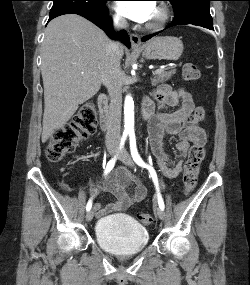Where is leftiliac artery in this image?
Returning <instances> with one entry per match:
<instances>
[{"label":"left iliac artery","instance_id":"left-iliac-artery-1","mask_svg":"<svg viewBox=\"0 0 250 285\" xmlns=\"http://www.w3.org/2000/svg\"><path fill=\"white\" fill-rule=\"evenodd\" d=\"M129 136H130V151H131L132 158L138 166H140L142 168H146L149 171L150 176H151V178L154 182L155 188H156L159 207L164 210V202H163L162 196L160 194L158 177H157L156 171L154 170V168L152 166L146 164L142 160V158L140 157V155L137 151V147H136L135 135L133 133H131Z\"/></svg>","mask_w":250,"mask_h":285}]
</instances>
